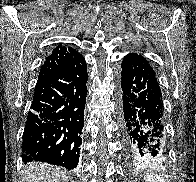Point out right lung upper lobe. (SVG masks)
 <instances>
[{"label":"right lung upper lobe","mask_w":196,"mask_h":182,"mask_svg":"<svg viewBox=\"0 0 196 182\" xmlns=\"http://www.w3.org/2000/svg\"><path fill=\"white\" fill-rule=\"evenodd\" d=\"M79 56H81V54L75 49L59 44L53 49L51 55L48 56L45 62L42 64L37 84L44 81L52 74L60 71Z\"/></svg>","instance_id":"1"}]
</instances>
